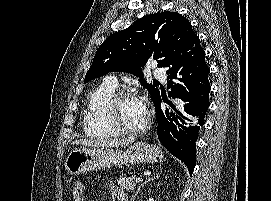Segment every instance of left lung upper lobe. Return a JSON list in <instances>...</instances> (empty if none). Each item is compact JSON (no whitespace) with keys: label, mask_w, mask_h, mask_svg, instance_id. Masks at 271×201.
<instances>
[{"label":"left lung upper lobe","mask_w":271,"mask_h":201,"mask_svg":"<svg viewBox=\"0 0 271 201\" xmlns=\"http://www.w3.org/2000/svg\"><path fill=\"white\" fill-rule=\"evenodd\" d=\"M197 37L190 22L176 12H160L138 19L127 29L110 35L98 48L85 84L109 72H127L139 77L152 100L159 90L143 79L141 66L153 57L158 67H168L176 45Z\"/></svg>","instance_id":"5c2ea615"}]
</instances>
